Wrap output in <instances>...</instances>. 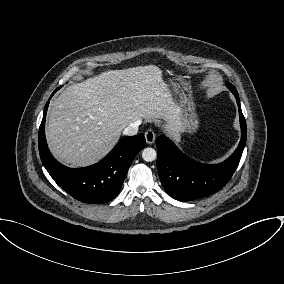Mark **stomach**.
I'll list each match as a JSON object with an SVG mask.
<instances>
[{"label":"stomach","mask_w":284,"mask_h":284,"mask_svg":"<svg viewBox=\"0 0 284 284\" xmlns=\"http://www.w3.org/2000/svg\"><path fill=\"white\" fill-rule=\"evenodd\" d=\"M170 86L181 109V132L195 133L199 127V119L195 112L190 82L183 77H176L170 79Z\"/></svg>","instance_id":"0dacf381"}]
</instances>
